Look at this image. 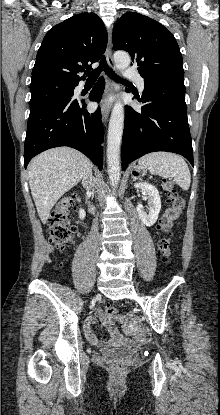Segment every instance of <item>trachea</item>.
<instances>
[{
	"mask_svg": "<svg viewBox=\"0 0 220 415\" xmlns=\"http://www.w3.org/2000/svg\"><path fill=\"white\" fill-rule=\"evenodd\" d=\"M104 69L105 73L114 81L116 82H120V81H124L126 82L125 79L120 78L107 64L105 57L103 56L101 61H100V65L94 69L91 72L86 71L85 75L88 76V79H97L98 76L100 75V73L102 72V70Z\"/></svg>",
	"mask_w": 220,
	"mask_h": 415,
	"instance_id": "3493384b",
	"label": "trachea"
}]
</instances>
